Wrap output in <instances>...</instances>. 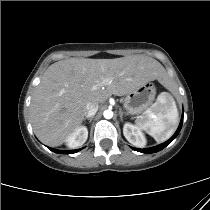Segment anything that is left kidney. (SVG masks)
<instances>
[{
    "label": "left kidney",
    "instance_id": "left-kidney-1",
    "mask_svg": "<svg viewBox=\"0 0 210 210\" xmlns=\"http://www.w3.org/2000/svg\"><path fill=\"white\" fill-rule=\"evenodd\" d=\"M123 134L128 142L134 146L144 147L146 145V139L140 128L131 123L124 124Z\"/></svg>",
    "mask_w": 210,
    "mask_h": 210
}]
</instances>
